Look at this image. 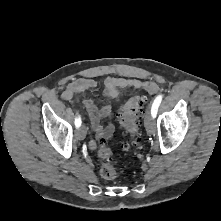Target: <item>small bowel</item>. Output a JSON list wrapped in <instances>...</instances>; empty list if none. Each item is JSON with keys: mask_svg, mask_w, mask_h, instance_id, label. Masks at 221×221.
Here are the masks:
<instances>
[{"mask_svg": "<svg viewBox=\"0 0 221 221\" xmlns=\"http://www.w3.org/2000/svg\"><path fill=\"white\" fill-rule=\"evenodd\" d=\"M97 86V81L92 78H81L70 82L62 93V98L70 100L77 95H85ZM126 88L140 89L144 88L149 91H155L156 85L153 82H144L136 78L126 77H107L104 80V95L107 99L119 102L121 99V90ZM84 106L89 114L92 129L95 137L89 141L91 149H96L101 141L109 139L114 132L112 123L101 124V119L112 116V105L105 103L98 108L91 99L84 101Z\"/></svg>", "mask_w": 221, "mask_h": 221, "instance_id": "1", "label": "small bowel"}]
</instances>
